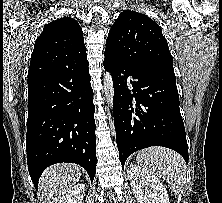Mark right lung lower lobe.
<instances>
[{
	"instance_id": "98d812e1",
	"label": "right lung lower lobe",
	"mask_w": 222,
	"mask_h": 203,
	"mask_svg": "<svg viewBox=\"0 0 222 203\" xmlns=\"http://www.w3.org/2000/svg\"><path fill=\"white\" fill-rule=\"evenodd\" d=\"M88 65L58 69L28 79V170L35 188L50 165L82 166L96 172L93 90Z\"/></svg>"
}]
</instances>
